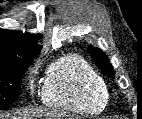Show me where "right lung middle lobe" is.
<instances>
[{
	"label": "right lung middle lobe",
	"mask_w": 142,
	"mask_h": 119,
	"mask_svg": "<svg viewBox=\"0 0 142 119\" xmlns=\"http://www.w3.org/2000/svg\"><path fill=\"white\" fill-rule=\"evenodd\" d=\"M32 59L0 65V109L11 104L18 96L23 74Z\"/></svg>",
	"instance_id": "dd1d6c3e"
}]
</instances>
